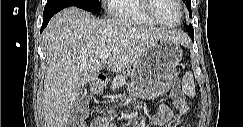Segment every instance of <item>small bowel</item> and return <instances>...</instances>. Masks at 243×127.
<instances>
[{
  "label": "small bowel",
  "mask_w": 243,
  "mask_h": 127,
  "mask_svg": "<svg viewBox=\"0 0 243 127\" xmlns=\"http://www.w3.org/2000/svg\"><path fill=\"white\" fill-rule=\"evenodd\" d=\"M173 107L182 115L187 114L189 107L185 99L183 101L173 98L172 100ZM173 119V112L170 106L167 104H161L158 107L157 114L151 121V126H168L171 120ZM91 127H109V124L105 119L94 120L91 124Z\"/></svg>",
  "instance_id": "c3829d8e"
}]
</instances>
